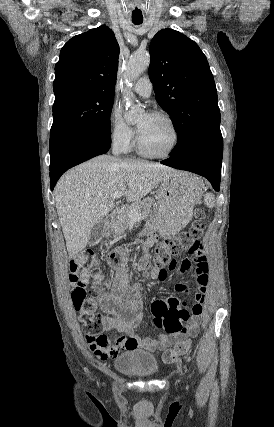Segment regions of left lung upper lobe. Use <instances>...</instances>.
<instances>
[{
  "label": "left lung upper lobe",
  "mask_w": 274,
  "mask_h": 427,
  "mask_svg": "<svg viewBox=\"0 0 274 427\" xmlns=\"http://www.w3.org/2000/svg\"><path fill=\"white\" fill-rule=\"evenodd\" d=\"M150 79L159 105L170 115L180 152L207 134H219L217 90L206 56L183 35L163 29L150 44Z\"/></svg>",
  "instance_id": "obj_1"
}]
</instances>
